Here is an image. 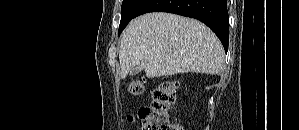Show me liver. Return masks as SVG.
Returning a JSON list of instances; mask_svg holds the SVG:
<instances>
[{
  "mask_svg": "<svg viewBox=\"0 0 299 130\" xmlns=\"http://www.w3.org/2000/svg\"><path fill=\"white\" fill-rule=\"evenodd\" d=\"M225 53L203 23L179 15L153 12L133 19L120 40L121 78L139 66L148 78L177 73L220 74Z\"/></svg>",
  "mask_w": 299,
  "mask_h": 130,
  "instance_id": "1",
  "label": "liver"
}]
</instances>
